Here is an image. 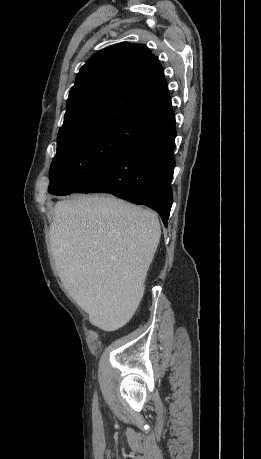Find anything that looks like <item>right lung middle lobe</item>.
I'll return each mask as SVG.
<instances>
[{
    "mask_svg": "<svg viewBox=\"0 0 261 459\" xmlns=\"http://www.w3.org/2000/svg\"><path fill=\"white\" fill-rule=\"evenodd\" d=\"M149 127L133 121H118L58 139L57 153L50 167L49 193H72L121 156Z\"/></svg>",
    "mask_w": 261,
    "mask_h": 459,
    "instance_id": "right-lung-middle-lobe-1",
    "label": "right lung middle lobe"
}]
</instances>
